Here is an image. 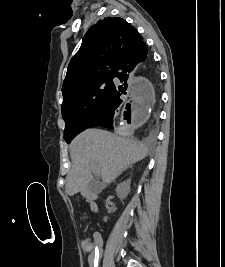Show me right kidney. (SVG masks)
<instances>
[{
	"instance_id": "1",
	"label": "right kidney",
	"mask_w": 225,
	"mask_h": 267,
	"mask_svg": "<svg viewBox=\"0 0 225 267\" xmlns=\"http://www.w3.org/2000/svg\"><path fill=\"white\" fill-rule=\"evenodd\" d=\"M130 184L131 180L128 179L117 185L116 193L120 199H125L127 195L130 193Z\"/></svg>"
}]
</instances>
